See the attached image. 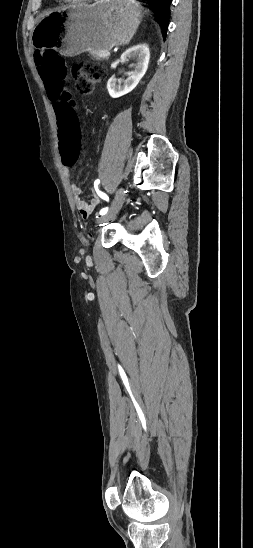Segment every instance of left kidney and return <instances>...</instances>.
Listing matches in <instances>:
<instances>
[{"mask_svg":"<svg viewBox=\"0 0 253 548\" xmlns=\"http://www.w3.org/2000/svg\"><path fill=\"white\" fill-rule=\"evenodd\" d=\"M131 59L136 61L135 69L124 82H117L113 77L107 81V90L112 98H119L131 92L145 75L150 60L148 45L138 44L121 55V62H128Z\"/></svg>","mask_w":253,"mask_h":548,"instance_id":"1","label":"left kidney"}]
</instances>
